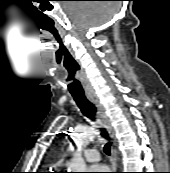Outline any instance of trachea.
<instances>
[{
	"label": "trachea",
	"instance_id": "obj_1",
	"mask_svg": "<svg viewBox=\"0 0 170 173\" xmlns=\"http://www.w3.org/2000/svg\"><path fill=\"white\" fill-rule=\"evenodd\" d=\"M73 99L75 100L76 104L80 108L81 112L87 116L92 121H96V107L95 105L86 97L84 93H76L72 94ZM101 135L105 138H108V133L104 128L100 129ZM111 143L108 142L104 146V152L107 155H110L111 153Z\"/></svg>",
	"mask_w": 170,
	"mask_h": 173
}]
</instances>
